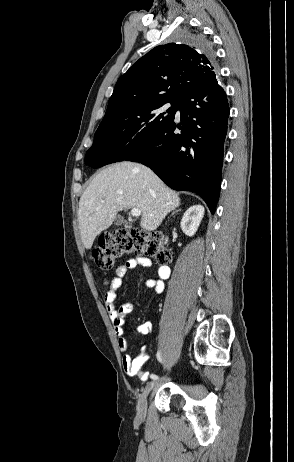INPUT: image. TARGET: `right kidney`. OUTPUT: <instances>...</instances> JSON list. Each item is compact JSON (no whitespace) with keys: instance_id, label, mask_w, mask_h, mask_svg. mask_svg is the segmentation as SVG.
<instances>
[{"instance_id":"right-kidney-1","label":"right kidney","mask_w":294,"mask_h":462,"mask_svg":"<svg viewBox=\"0 0 294 462\" xmlns=\"http://www.w3.org/2000/svg\"><path fill=\"white\" fill-rule=\"evenodd\" d=\"M204 207L200 204L193 205L184 213L181 220V229L187 236H193L204 216Z\"/></svg>"}]
</instances>
